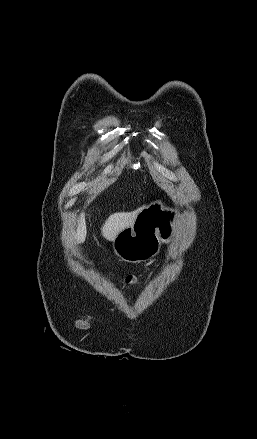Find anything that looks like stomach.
<instances>
[{
	"label": "stomach",
	"instance_id": "1",
	"mask_svg": "<svg viewBox=\"0 0 257 439\" xmlns=\"http://www.w3.org/2000/svg\"><path fill=\"white\" fill-rule=\"evenodd\" d=\"M180 212L156 200L143 208L134 223L113 240L114 253L123 261L139 263L152 259L161 243L171 240Z\"/></svg>",
	"mask_w": 257,
	"mask_h": 439
}]
</instances>
